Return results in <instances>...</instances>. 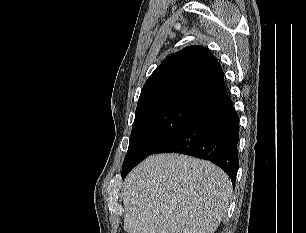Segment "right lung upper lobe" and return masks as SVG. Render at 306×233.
I'll list each match as a JSON object with an SVG mask.
<instances>
[{
    "instance_id": "obj_1",
    "label": "right lung upper lobe",
    "mask_w": 306,
    "mask_h": 233,
    "mask_svg": "<svg viewBox=\"0 0 306 233\" xmlns=\"http://www.w3.org/2000/svg\"><path fill=\"white\" fill-rule=\"evenodd\" d=\"M226 94L218 60L209 49L194 45L157 67L141 90L137 108L162 99H183L204 107Z\"/></svg>"
}]
</instances>
